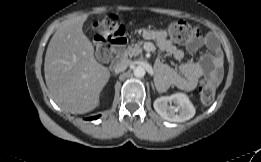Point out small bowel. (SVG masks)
Segmentation results:
<instances>
[{"mask_svg":"<svg viewBox=\"0 0 261 162\" xmlns=\"http://www.w3.org/2000/svg\"><path fill=\"white\" fill-rule=\"evenodd\" d=\"M146 37L155 41L161 50L172 55L175 59L181 60L183 58L184 52L173 45L166 31L150 29L146 32ZM203 46L208 49V52L203 54L197 62L183 63L180 66L182 75L167 67L160 60L156 62L158 72L162 75H168L171 84L185 91L194 90L202 76L213 79L218 83L223 75V54L220 46L213 35H207L204 38L192 40L188 49L191 52H196Z\"/></svg>","mask_w":261,"mask_h":162,"instance_id":"small-bowel-1","label":"small bowel"}]
</instances>
